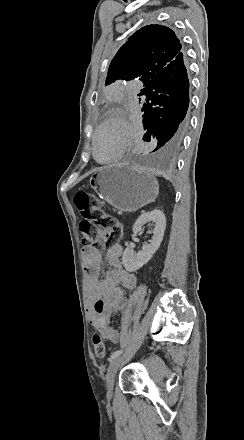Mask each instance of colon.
<instances>
[{
	"instance_id": "colon-1",
	"label": "colon",
	"mask_w": 244,
	"mask_h": 440,
	"mask_svg": "<svg viewBox=\"0 0 244 440\" xmlns=\"http://www.w3.org/2000/svg\"><path fill=\"white\" fill-rule=\"evenodd\" d=\"M74 203L85 219L79 224L84 242L101 250L111 247L117 237L118 229L123 228V223H119L114 215L105 212L102 204L84 190L74 196ZM94 310L99 315L98 322L102 324L105 320L103 304L96 302ZM92 347L96 358L105 356L106 344L98 333H94L92 336Z\"/></svg>"
}]
</instances>
